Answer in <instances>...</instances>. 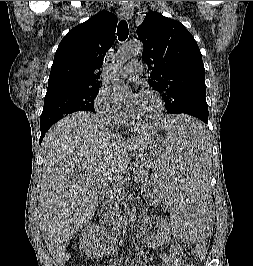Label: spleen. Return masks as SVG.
Segmentation results:
<instances>
[{
  "label": "spleen",
  "instance_id": "3e777b00",
  "mask_svg": "<svg viewBox=\"0 0 253 266\" xmlns=\"http://www.w3.org/2000/svg\"><path fill=\"white\" fill-rule=\"evenodd\" d=\"M164 145L156 151L148 189L170 210L169 228L175 248H202L213 235L216 207H209L211 179L207 135L193 115H168L163 121Z\"/></svg>",
  "mask_w": 253,
  "mask_h": 266
}]
</instances>
